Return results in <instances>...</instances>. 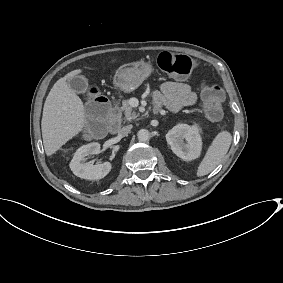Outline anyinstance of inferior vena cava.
I'll list each match as a JSON object with an SVG mask.
<instances>
[{
	"label": "inferior vena cava",
	"instance_id": "inferior-vena-cava-1",
	"mask_svg": "<svg viewBox=\"0 0 283 283\" xmlns=\"http://www.w3.org/2000/svg\"><path fill=\"white\" fill-rule=\"evenodd\" d=\"M131 129H132V125L124 126L119 130L118 135L121 137H125L128 135Z\"/></svg>",
	"mask_w": 283,
	"mask_h": 283
}]
</instances>
